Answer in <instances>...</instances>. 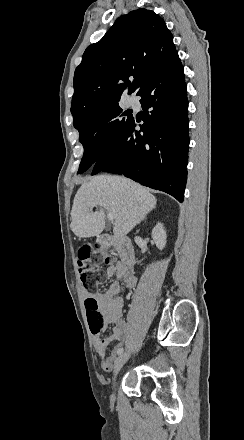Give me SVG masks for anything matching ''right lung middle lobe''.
I'll return each instance as SVG.
<instances>
[{
	"instance_id": "obj_1",
	"label": "right lung middle lobe",
	"mask_w": 244,
	"mask_h": 440,
	"mask_svg": "<svg viewBox=\"0 0 244 440\" xmlns=\"http://www.w3.org/2000/svg\"><path fill=\"white\" fill-rule=\"evenodd\" d=\"M120 99H109L95 105L71 110L74 127L80 133V142L84 147L78 174L85 172L105 154L117 141L132 115L122 112Z\"/></svg>"
}]
</instances>
